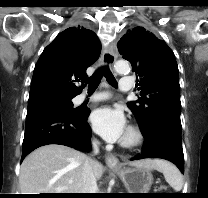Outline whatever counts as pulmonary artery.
Returning a JSON list of instances; mask_svg holds the SVG:
<instances>
[{"instance_id": "e3ab8cb5", "label": "pulmonary artery", "mask_w": 208, "mask_h": 198, "mask_svg": "<svg viewBox=\"0 0 208 198\" xmlns=\"http://www.w3.org/2000/svg\"><path fill=\"white\" fill-rule=\"evenodd\" d=\"M119 88L123 92H127L131 90L132 88V81L129 77H123L120 79L119 82ZM108 98L107 93H99V94H94L91 96H88L86 94L80 95L79 99L80 101H92V102H97V101H102Z\"/></svg>"}]
</instances>
